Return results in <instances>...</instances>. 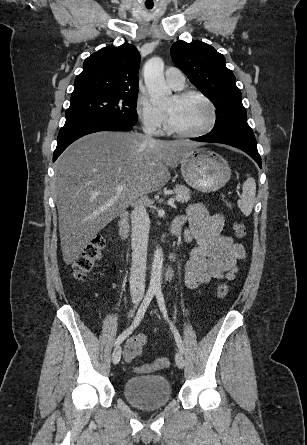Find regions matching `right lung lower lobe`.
I'll use <instances>...</instances> for the list:
<instances>
[{
  "label": "right lung lower lobe",
  "instance_id": "obj_1",
  "mask_svg": "<svg viewBox=\"0 0 307 445\" xmlns=\"http://www.w3.org/2000/svg\"><path fill=\"white\" fill-rule=\"evenodd\" d=\"M135 124L105 116H83L67 119L60 129L57 147L53 154V162L75 140L99 131H127Z\"/></svg>",
  "mask_w": 307,
  "mask_h": 445
}]
</instances>
